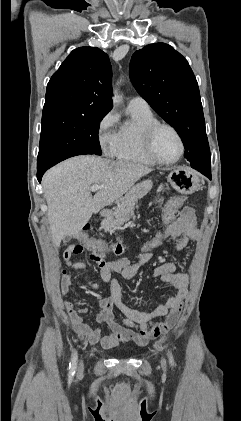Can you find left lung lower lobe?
<instances>
[{"label":"left lung lower lobe","mask_w":241,"mask_h":421,"mask_svg":"<svg viewBox=\"0 0 241 421\" xmlns=\"http://www.w3.org/2000/svg\"><path fill=\"white\" fill-rule=\"evenodd\" d=\"M191 162V161H190ZM191 166L206 175L207 177L211 178V167L210 164H202V163H192Z\"/></svg>","instance_id":"0a47b994"}]
</instances>
